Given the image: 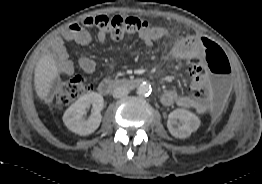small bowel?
<instances>
[{
    "mask_svg": "<svg viewBox=\"0 0 262 184\" xmlns=\"http://www.w3.org/2000/svg\"><path fill=\"white\" fill-rule=\"evenodd\" d=\"M167 34L168 32L164 27L149 26L140 33V38L145 45L152 46ZM198 38L199 37L195 35L184 36L177 40L171 49V56L173 58L189 60L186 63L185 71L189 80V90L195 94L203 90L204 79L209 73L208 69L205 67L208 60L203 57L201 51L195 44ZM63 39L74 41L80 45H88L91 42L90 35L79 24L74 23L66 27L62 32V38H56L54 41V52L57 58L58 70L65 75L73 74L76 68L88 74L94 72L95 62L89 57H81L76 65L70 61L68 52L63 44ZM97 39L100 43L105 42L106 34L102 31H98ZM161 102L165 106L178 105L182 108L193 109L199 114L206 111V104L204 101L189 95L179 94L174 90L165 91L161 96Z\"/></svg>",
    "mask_w": 262,
    "mask_h": 184,
    "instance_id": "1",
    "label": "small bowel"
}]
</instances>
